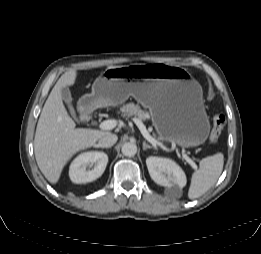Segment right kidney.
Listing matches in <instances>:
<instances>
[{"instance_id":"right-kidney-1","label":"right kidney","mask_w":261,"mask_h":254,"mask_svg":"<svg viewBox=\"0 0 261 254\" xmlns=\"http://www.w3.org/2000/svg\"><path fill=\"white\" fill-rule=\"evenodd\" d=\"M108 163V156L104 152L90 151L77 156L71 163L69 176L73 183H88L99 178ZM87 166H93L86 170Z\"/></svg>"}]
</instances>
